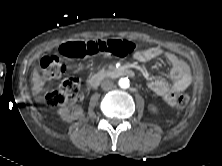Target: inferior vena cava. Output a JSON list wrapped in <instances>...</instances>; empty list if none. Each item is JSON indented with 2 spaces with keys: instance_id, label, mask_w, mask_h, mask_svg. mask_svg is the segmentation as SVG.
Here are the masks:
<instances>
[{
  "instance_id": "602c4592",
  "label": "inferior vena cava",
  "mask_w": 222,
  "mask_h": 166,
  "mask_svg": "<svg viewBox=\"0 0 222 166\" xmlns=\"http://www.w3.org/2000/svg\"><path fill=\"white\" fill-rule=\"evenodd\" d=\"M101 87L103 90H110L113 88V82L109 79H105L102 81Z\"/></svg>"
}]
</instances>
